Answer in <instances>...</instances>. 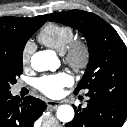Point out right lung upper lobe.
Masks as SVG:
<instances>
[{"instance_id": "cb5924a9", "label": "right lung upper lobe", "mask_w": 127, "mask_h": 127, "mask_svg": "<svg viewBox=\"0 0 127 127\" xmlns=\"http://www.w3.org/2000/svg\"><path fill=\"white\" fill-rule=\"evenodd\" d=\"M49 15L37 16L34 18L2 17L0 18V42L7 39L14 33L28 30L39 24H44Z\"/></svg>"}]
</instances>
